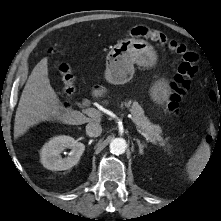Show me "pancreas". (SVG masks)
<instances>
[{"label": "pancreas", "instance_id": "cf45deb5", "mask_svg": "<svg viewBox=\"0 0 221 221\" xmlns=\"http://www.w3.org/2000/svg\"><path fill=\"white\" fill-rule=\"evenodd\" d=\"M127 107L130 109L132 120L142 131L150 134L155 141L158 142L159 146L164 147V150L171 154V146L168 144V138L164 139L162 134V129L159 125H155L149 121L145 116L144 110L136 101H126L121 104V107Z\"/></svg>", "mask_w": 221, "mask_h": 221}]
</instances>
